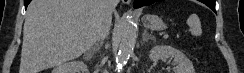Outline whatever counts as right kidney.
Returning <instances> with one entry per match:
<instances>
[{
	"mask_svg": "<svg viewBox=\"0 0 244 73\" xmlns=\"http://www.w3.org/2000/svg\"><path fill=\"white\" fill-rule=\"evenodd\" d=\"M88 72L87 66L82 61L63 63L53 69L52 73H81Z\"/></svg>",
	"mask_w": 244,
	"mask_h": 73,
	"instance_id": "obj_1",
	"label": "right kidney"
}]
</instances>
